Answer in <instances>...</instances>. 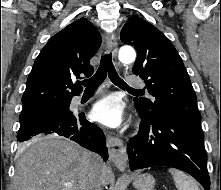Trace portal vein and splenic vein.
Segmentation results:
<instances>
[{
  "instance_id": "18ae733b",
  "label": "portal vein and splenic vein",
  "mask_w": 221,
  "mask_h": 190,
  "mask_svg": "<svg viewBox=\"0 0 221 190\" xmlns=\"http://www.w3.org/2000/svg\"><path fill=\"white\" fill-rule=\"evenodd\" d=\"M65 185H66L67 187H71V186H72L71 183H66Z\"/></svg>"
}]
</instances>
